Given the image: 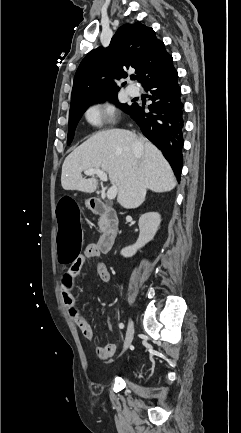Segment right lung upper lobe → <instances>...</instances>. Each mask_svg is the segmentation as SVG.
Listing matches in <instances>:
<instances>
[{"label": "right lung upper lobe", "mask_w": 241, "mask_h": 433, "mask_svg": "<svg viewBox=\"0 0 241 433\" xmlns=\"http://www.w3.org/2000/svg\"><path fill=\"white\" fill-rule=\"evenodd\" d=\"M172 62L152 28L136 22L119 27L107 48L88 53L75 74L71 106L79 101L114 94L112 78L127 77L126 69L134 68L143 85L159 75Z\"/></svg>", "instance_id": "cb5924a9"}]
</instances>
